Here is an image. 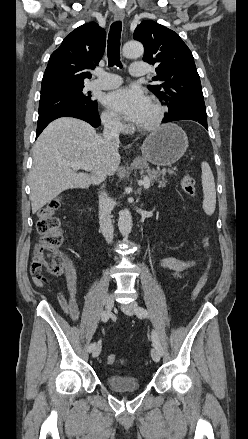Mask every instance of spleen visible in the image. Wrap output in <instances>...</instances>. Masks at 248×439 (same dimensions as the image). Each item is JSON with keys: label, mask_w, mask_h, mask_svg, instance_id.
<instances>
[{"label": "spleen", "mask_w": 248, "mask_h": 439, "mask_svg": "<svg viewBox=\"0 0 248 439\" xmlns=\"http://www.w3.org/2000/svg\"><path fill=\"white\" fill-rule=\"evenodd\" d=\"M202 187H203V209L207 214H212L216 205V190L213 173L207 162H202Z\"/></svg>", "instance_id": "3e777b00"}]
</instances>
